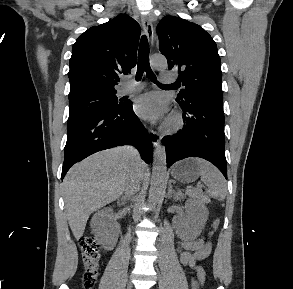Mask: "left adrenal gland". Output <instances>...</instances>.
Returning a JSON list of instances; mask_svg holds the SVG:
<instances>
[{"label":"left adrenal gland","instance_id":"obj_1","mask_svg":"<svg viewBox=\"0 0 293 289\" xmlns=\"http://www.w3.org/2000/svg\"><path fill=\"white\" fill-rule=\"evenodd\" d=\"M173 194H176L175 190L172 188L171 182H169L168 187V198H171Z\"/></svg>","mask_w":293,"mask_h":289}]
</instances>
